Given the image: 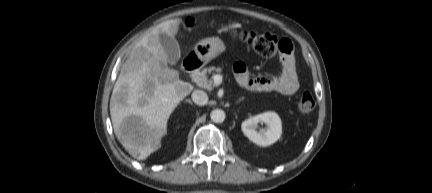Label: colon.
Instances as JSON below:
<instances>
[{"label":"colon","instance_id":"obj_1","mask_svg":"<svg viewBox=\"0 0 432 193\" xmlns=\"http://www.w3.org/2000/svg\"><path fill=\"white\" fill-rule=\"evenodd\" d=\"M241 40L263 57L292 54L291 42L287 39H279L272 33H256L246 30L242 33ZM315 106L314 96L310 92H304L298 101V109L302 113H308L314 110Z\"/></svg>","mask_w":432,"mask_h":193}]
</instances>
